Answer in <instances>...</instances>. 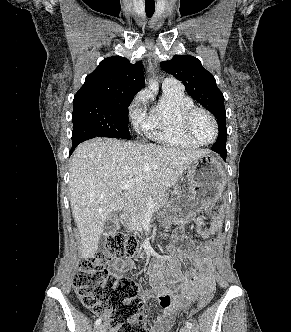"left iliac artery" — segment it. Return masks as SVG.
<instances>
[{"instance_id": "obj_1", "label": "left iliac artery", "mask_w": 291, "mask_h": 332, "mask_svg": "<svg viewBox=\"0 0 291 332\" xmlns=\"http://www.w3.org/2000/svg\"><path fill=\"white\" fill-rule=\"evenodd\" d=\"M186 326L188 327V328H192V323L191 322H186Z\"/></svg>"}]
</instances>
